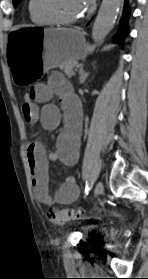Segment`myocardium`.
Listing matches in <instances>:
<instances>
[{
    "label": "myocardium",
    "instance_id": "1",
    "mask_svg": "<svg viewBox=\"0 0 148 279\" xmlns=\"http://www.w3.org/2000/svg\"><path fill=\"white\" fill-rule=\"evenodd\" d=\"M40 0H33V9L37 15L48 20L51 23L59 24V25H70L79 22L82 20V17H74V18H62L57 16L55 13L46 11L41 7Z\"/></svg>",
    "mask_w": 148,
    "mask_h": 279
}]
</instances>
